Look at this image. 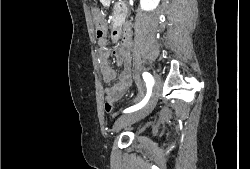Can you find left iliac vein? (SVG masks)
<instances>
[{"label":"left iliac vein","mask_w":250,"mask_h":169,"mask_svg":"<svg viewBox=\"0 0 250 169\" xmlns=\"http://www.w3.org/2000/svg\"><path fill=\"white\" fill-rule=\"evenodd\" d=\"M153 77H154V87L148 102L139 110L120 116L114 123V129H113L114 132H118L127 125H130L136 121L141 120L142 118L147 116L150 113V111L154 108L161 91V80L158 74H154Z\"/></svg>","instance_id":"left-iliac-vein-1"}]
</instances>
